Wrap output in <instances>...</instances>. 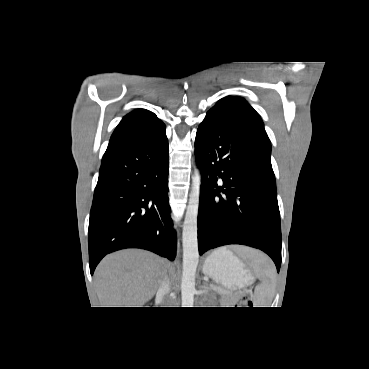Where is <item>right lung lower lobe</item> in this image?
<instances>
[{
    "instance_id": "98d812e1",
    "label": "right lung lower lobe",
    "mask_w": 369,
    "mask_h": 369,
    "mask_svg": "<svg viewBox=\"0 0 369 369\" xmlns=\"http://www.w3.org/2000/svg\"><path fill=\"white\" fill-rule=\"evenodd\" d=\"M168 173L165 129L106 150L89 220L91 274L106 254L124 248H142L175 259Z\"/></svg>"
}]
</instances>
